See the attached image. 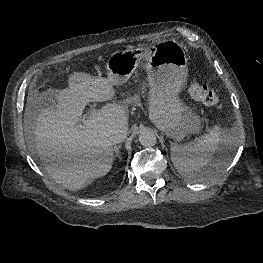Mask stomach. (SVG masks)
I'll use <instances>...</instances> for the list:
<instances>
[{"label": "stomach", "instance_id": "stomach-1", "mask_svg": "<svg viewBox=\"0 0 263 263\" xmlns=\"http://www.w3.org/2000/svg\"><path fill=\"white\" fill-rule=\"evenodd\" d=\"M187 55L174 39H164L148 47L116 51L106 63L107 79L113 86L124 84L144 62L150 86L149 117L167 136L180 141L198 130L197 116L179 98L186 82Z\"/></svg>", "mask_w": 263, "mask_h": 263}]
</instances>
